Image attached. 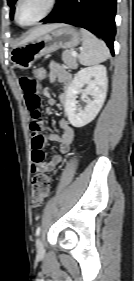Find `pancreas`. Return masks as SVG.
I'll list each match as a JSON object with an SVG mask.
<instances>
[{"mask_svg": "<svg viewBox=\"0 0 134 281\" xmlns=\"http://www.w3.org/2000/svg\"><path fill=\"white\" fill-rule=\"evenodd\" d=\"M62 60L63 62L70 67L71 69H77V58L71 55V51L66 50L62 53Z\"/></svg>", "mask_w": 134, "mask_h": 281, "instance_id": "obj_1", "label": "pancreas"}]
</instances>
